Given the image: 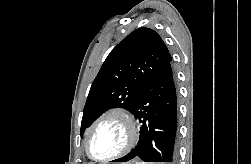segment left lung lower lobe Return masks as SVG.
Returning a JSON list of instances; mask_svg holds the SVG:
<instances>
[{
  "mask_svg": "<svg viewBox=\"0 0 251 164\" xmlns=\"http://www.w3.org/2000/svg\"><path fill=\"white\" fill-rule=\"evenodd\" d=\"M132 114L140 123L137 147L123 160L174 163L177 159V90L171 61L143 88Z\"/></svg>",
  "mask_w": 251,
  "mask_h": 164,
  "instance_id": "1",
  "label": "left lung lower lobe"
}]
</instances>
